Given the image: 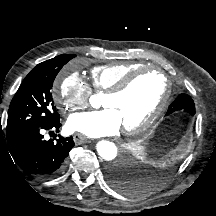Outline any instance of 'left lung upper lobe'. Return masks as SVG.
<instances>
[{"label":"left lung upper lobe","mask_w":216,"mask_h":216,"mask_svg":"<svg viewBox=\"0 0 216 216\" xmlns=\"http://www.w3.org/2000/svg\"><path fill=\"white\" fill-rule=\"evenodd\" d=\"M189 96V95H188ZM181 98V99H180ZM183 102H181L182 104V107L179 108V109H176V110H173V111H170L169 112V109L172 107V104L169 106L168 108V111H167V114H171L175 111H179V110H183L184 112H186L189 116H193L195 114V104L192 100V98L189 96V97H186V98H183V96L180 94L177 98H176V102L180 101V100ZM145 191V188H141V187H138L136 184L133 185V189L128 192V194H139L141 192H144Z\"/></svg>","instance_id":"1"}]
</instances>
